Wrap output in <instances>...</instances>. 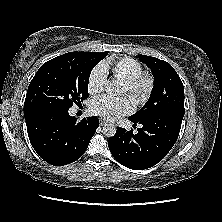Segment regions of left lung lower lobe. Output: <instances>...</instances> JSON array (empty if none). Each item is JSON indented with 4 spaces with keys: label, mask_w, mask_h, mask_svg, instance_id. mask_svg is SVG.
I'll return each instance as SVG.
<instances>
[{
    "label": "left lung lower lobe",
    "mask_w": 222,
    "mask_h": 222,
    "mask_svg": "<svg viewBox=\"0 0 222 222\" xmlns=\"http://www.w3.org/2000/svg\"><path fill=\"white\" fill-rule=\"evenodd\" d=\"M184 114L167 111L154 114L143 120H129L134 125L141 124L133 130L118 128L116 134L108 140L113 157L123 166L143 170L160 162L175 144Z\"/></svg>",
    "instance_id": "0a47b994"
}]
</instances>
